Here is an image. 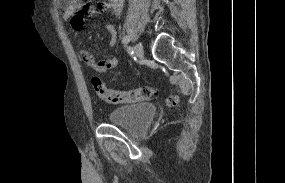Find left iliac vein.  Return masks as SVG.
Segmentation results:
<instances>
[{
    "mask_svg": "<svg viewBox=\"0 0 285 183\" xmlns=\"http://www.w3.org/2000/svg\"><path fill=\"white\" fill-rule=\"evenodd\" d=\"M134 52H135L136 56L139 57V58H141L143 56L144 51H143V46H142L141 42H138V43L135 44Z\"/></svg>",
    "mask_w": 285,
    "mask_h": 183,
    "instance_id": "obj_1",
    "label": "left iliac vein"
}]
</instances>
